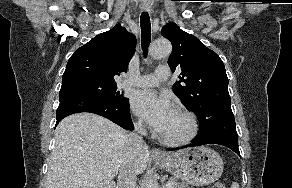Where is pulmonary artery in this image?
<instances>
[{
    "mask_svg": "<svg viewBox=\"0 0 292 188\" xmlns=\"http://www.w3.org/2000/svg\"><path fill=\"white\" fill-rule=\"evenodd\" d=\"M170 76V71L167 66H160L155 70L153 74H147L137 77L127 76L121 82V86H134V87H154L161 81L167 80Z\"/></svg>",
    "mask_w": 292,
    "mask_h": 188,
    "instance_id": "pulmonary-artery-1",
    "label": "pulmonary artery"
}]
</instances>
